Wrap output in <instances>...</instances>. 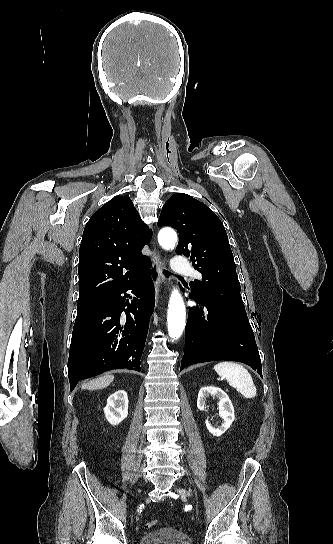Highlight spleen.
Returning <instances> with one entry per match:
<instances>
[{"mask_svg":"<svg viewBox=\"0 0 333 544\" xmlns=\"http://www.w3.org/2000/svg\"><path fill=\"white\" fill-rule=\"evenodd\" d=\"M214 370L245 398L251 399L256 396L257 391L252 377L242 365L235 362L223 361L216 364Z\"/></svg>","mask_w":333,"mask_h":544,"instance_id":"obj_1","label":"spleen"}]
</instances>
